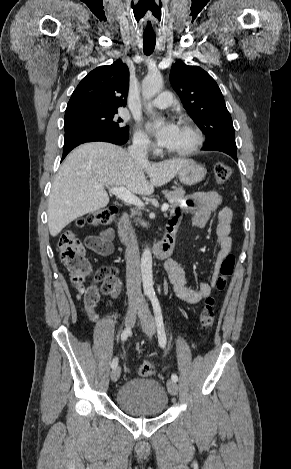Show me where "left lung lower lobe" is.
Segmentation results:
<instances>
[{
    "label": "left lung lower lobe",
    "instance_id": "1",
    "mask_svg": "<svg viewBox=\"0 0 291 469\" xmlns=\"http://www.w3.org/2000/svg\"><path fill=\"white\" fill-rule=\"evenodd\" d=\"M202 150L206 151H221L230 155L235 161L237 160V148L236 144L220 143L209 147H203Z\"/></svg>",
    "mask_w": 291,
    "mask_h": 469
}]
</instances>
